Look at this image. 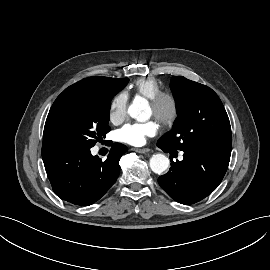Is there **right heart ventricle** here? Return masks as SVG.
I'll return each instance as SVG.
<instances>
[{"label":"right heart ventricle","mask_w":270,"mask_h":270,"mask_svg":"<svg viewBox=\"0 0 270 270\" xmlns=\"http://www.w3.org/2000/svg\"><path fill=\"white\" fill-rule=\"evenodd\" d=\"M130 88L138 95L151 99L163 90L161 83L153 77H144L135 80Z\"/></svg>","instance_id":"obj_1"}]
</instances>
